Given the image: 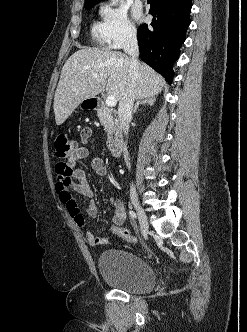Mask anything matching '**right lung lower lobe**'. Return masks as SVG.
Returning <instances> with one entry per match:
<instances>
[{
  "instance_id": "right-lung-lower-lobe-1",
  "label": "right lung lower lobe",
  "mask_w": 247,
  "mask_h": 332,
  "mask_svg": "<svg viewBox=\"0 0 247 332\" xmlns=\"http://www.w3.org/2000/svg\"><path fill=\"white\" fill-rule=\"evenodd\" d=\"M149 14L154 19L138 30L141 59L160 73L171 84L173 63L186 39L190 24L191 0H148Z\"/></svg>"
}]
</instances>
